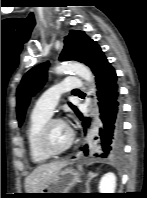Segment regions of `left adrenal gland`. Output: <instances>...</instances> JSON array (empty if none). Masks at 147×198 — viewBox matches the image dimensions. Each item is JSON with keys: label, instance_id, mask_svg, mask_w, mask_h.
I'll return each mask as SVG.
<instances>
[{"label": "left adrenal gland", "instance_id": "left-adrenal-gland-1", "mask_svg": "<svg viewBox=\"0 0 147 198\" xmlns=\"http://www.w3.org/2000/svg\"><path fill=\"white\" fill-rule=\"evenodd\" d=\"M97 175H98L97 173H93L92 171L88 173V175H87L88 179L86 181V193H90V182Z\"/></svg>", "mask_w": 147, "mask_h": 198}]
</instances>
